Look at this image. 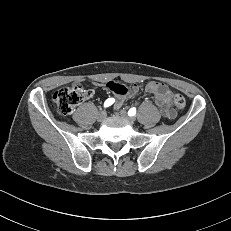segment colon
<instances>
[{
	"instance_id": "colon-1",
	"label": "colon",
	"mask_w": 231,
	"mask_h": 231,
	"mask_svg": "<svg viewBox=\"0 0 231 231\" xmlns=\"http://www.w3.org/2000/svg\"><path fill=\"white\" fill-rule=\"evenodd\" d=\"M88 93L80 84H75L59 88L53 94V100L58 112L62 115H68L88 96ZM173 102L178 109H183L186 106V100L181 94H176Z\"/></svg>"
}]
</instances>
